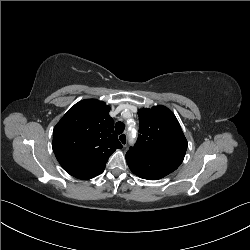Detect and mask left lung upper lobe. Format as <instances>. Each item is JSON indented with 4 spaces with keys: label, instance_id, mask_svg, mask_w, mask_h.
<instances>
[{
    "label": "left lung upper lobe",
    "instance_id": "obj_1",
    "mask_svg": "<svg viewBox=\"0 0 250 250\" xmlns=\"http://www.w3.org/2000/svg\"><path fill=\"white\" fill-rule=\"evenodd\" d=\"M138 115L140 134L126 153L128 165L148 158L157 168L173 172L182 163L188 146L177 118L165 106L139 109Z\"/></svg>",
    "mask_w": 250,
    "mask_h": 250
}]
</instances>
